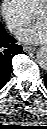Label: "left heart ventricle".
Returning <instances> with one entry per match:
<instances>
[{"mask_svg": "<svg viewBox=\"0 0 47 129\" xmlns=\"http://www.w3.org/2000/svg\"><path fill=\"white\" fill-rule=\"evenodd\" d=\"M34 19L39 22L46 23V14L44 12L38 13L34 15Z\"/></svg>", "mask_w": 47, "mask_h": 129, "instance_id": "left-heart-ventricle-1", "label": "left heart ventricle"}]
</instances>
